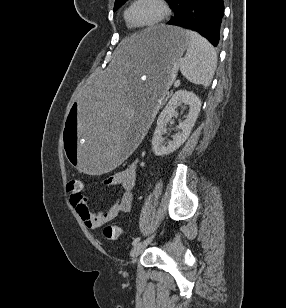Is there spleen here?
Wrapping results in <instances>:
<instances>
[{
  "mask_svg": "<svg viewBox=\"0 0 286 308\" xmlns=\"http://www.w3.org/2000/svg\"><path fill=\"white\" fill-rule=\"evenodd\" d=\"M190 42L188 52L180 59V70L192 83L208 87L213 79L217 54L207 39L195 31L186 30Z\"/></svg>",
  "mask_w": 286,
  "mask_h": 308,
  "instance_id": "1",
  "label": "spleen"
}]
</instances>
